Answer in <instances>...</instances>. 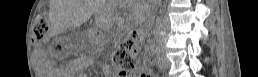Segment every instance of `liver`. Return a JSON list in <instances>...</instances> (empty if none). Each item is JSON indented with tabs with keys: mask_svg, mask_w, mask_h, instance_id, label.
Listing matches in <instances>:
<instances>
[{
	"mask_svg": "<svg viewBox=\"0 0 258 77\" xmlns=\"http://www.w3.org/2000/svg\"><path fill=\"white\" fill-rule=\"evenodd\" d=\"M60 20L71 26L76 24V1L64 0L60 1Z\"/></svg>",
	"mask_w": 258,
	"mask_h": 77,
	"instance_id": "liver-1",
	"label": "liver"
}]
</instances>
